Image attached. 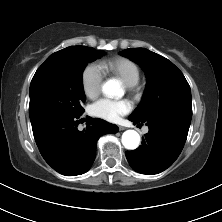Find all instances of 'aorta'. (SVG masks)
Instances as JSON below:
<instances>
[{"label":"aorta","instance_id":"762f6f07","mask_svg":"<svg viewBox=\"0 0 222 222\" xmlns=\"http://www.w3.org/2000/svg\"><path fill=\"white\" fill-rule=\"evenodd\" d=\"M103 93L108 97L120 96L122 88L117 80H108L102 86ZM140 143V135L135 130H127L122 134V144L126 149L135 150Z\"/></svg>","mask_w":222,"mask_h":222}]
</instances>
